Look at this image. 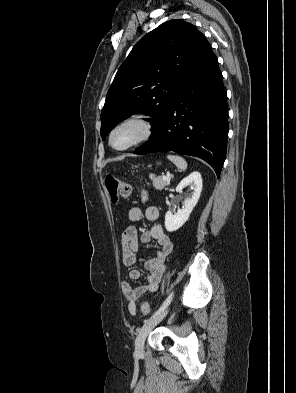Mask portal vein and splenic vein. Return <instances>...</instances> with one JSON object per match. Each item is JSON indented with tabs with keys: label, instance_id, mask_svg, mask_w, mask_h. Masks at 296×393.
<instances>
[{
	"label": "portal vein and splenic vein",
	"instance_id": "obj_1",
	"mask_svg": "<svg viewBox=\"0 0 296 393\" xmlns=\"http://www.w3.org/2000/svg\"><path fill=\"white\" fill-rule=\"evenodd\" d=\"M164 180H166V181H170V177H168V176H163L162 177Z\"/></svg>",
	"mask_w": 296,
	"mask_h": 393
}]
</instances>
